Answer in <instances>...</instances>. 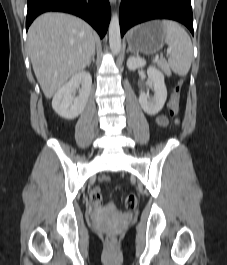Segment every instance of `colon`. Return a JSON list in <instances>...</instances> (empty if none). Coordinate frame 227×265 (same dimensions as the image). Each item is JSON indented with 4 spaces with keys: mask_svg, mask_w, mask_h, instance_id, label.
Wrapping results in <instances>:
<instances>
[{
    "mask_svg": "<svg viewBox=\"0 0 227 265\" xmlns=\"http://www.w3.org/2000/svg\"><path fill=\"white\" fill-rule=\"evenodd\" d=\"M180 91H181V82H178L171 91V96L170 100L168 103L170 114L174 117H177L179 115V103H180ZM100 181L102 183H108L110 181V178L106 175L102 176L100 178ZM90 201L93 205L95 206H100L103 203V196L98 187H94L89 194ZM137 205V199L134 195H128L124 200H123V208L126 211H131L135 209ZM105 242L109 246H113L116 242V239L114 235L112 234H107L104 237Z\"/></svg>",
    "mask_w": 227,
    "mask_h": 265,
    "instance_id": "obj_1",
    "label": "colon"
}]
</instances>
